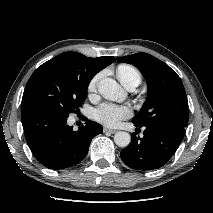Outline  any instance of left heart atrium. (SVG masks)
Instances as JSON below:
<instances>
[{
	"label": "left heart atrium",
	"mask_w": 213,
	"mask_h": 213,
	"mask_svg": "<svg viewBox=\"0 0 213 213\" xmlns=\"http://www.w3.org/2000/svg\"><path fill=\"white\" fill-rule=\"evenodd\" d=\"M132 109L128 105L102 103L93 110V118L109 127L117 126L122 120L131 116Z\"/></svg>",
	"instance_id": "left-heart-atrium-1"
}]
</instances>
